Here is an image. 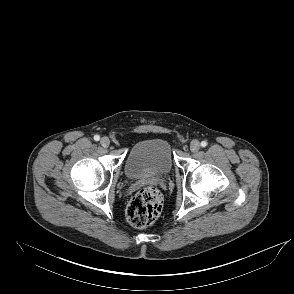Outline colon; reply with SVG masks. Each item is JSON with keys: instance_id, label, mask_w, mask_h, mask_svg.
Returning <instances> with one entry per match:
<instances>
[{"instance_id": "1", "label": "colon", "mask_w": 294, "mask_h": 294, "mask_svg": "<svg viewBox=\"0 0 294 294\" xmlns=\"http://www.w3.org/2000/svg\"><path fill=\"white\" fill-rule=\"evenodd\" d=\"M163 206V198L158 189L145 187L136 193L127 206L128 222L136 228H144L154 223Z\"/></svg>"}]
</instances>
